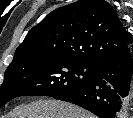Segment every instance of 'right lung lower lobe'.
Segmentation results:
<instances>
[{"label": "right lung lower lobe", "instance_id": "obj_1", "mask_svg": "<svg viewBox=\"0 0 133 118\" xmlns=\"http://www.w3.org/2000/svg\"><path fill=\"white\" fill-rule=\"evenodd\" d=\"M132 73L133 59L128 47L95 67L94 77L88 83L54 98L81 106L99 118H124L130 104Z\"/></svg>", "mask_w": 133, "mask_h": 118}]
</instances>
